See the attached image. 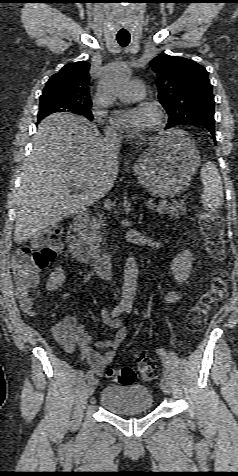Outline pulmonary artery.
Here are the masks:
<instances>
[{"mask_svg": "<svg viewBox=\"0 0 238 476\" xmlns=\"http://www.w3.org/2000/svg\"><path fill=\"white\" fill-rule=\"evenodd\" d=\"M144 95V84L139 80H131L124 85L118 97L122 102H133L142 99Z\"/></svg>", "mask_w": 238, "mask_h": 476, "instance_id": "1", "label": "pulmonary artery"}]
</instances>
